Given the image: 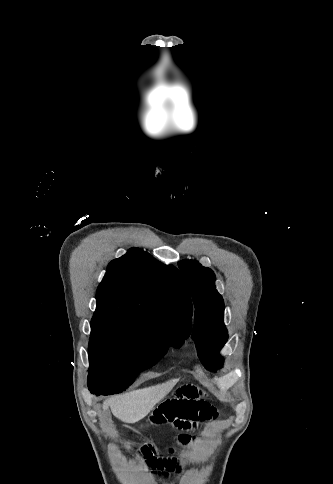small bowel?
I'll list each match as a JSON object with an SVG mask.
<instances>
[{
  "mask_svg": "<svg viewBox=\"0 0 333 484\" xmlns=\"http://www.w3.org/2000/svg\"><path fill=\"white\" fill-rule=\"evenodd\" d=\"M217 415V409L207 400L205 392L194 384L186 383L178 386L157 405L148 419V424L153 427H175L180 431L176 442L187 444L193 440L190 430L199 422L215 419ZM143 453L153 470L172 472L181 469L176 459L155 457L151 447H145Z\"/></svg>",
  "mask_w": 333,
  "mask_h": 484,
  "instance_id": "obj_1",
  "label": "small bowel"
}]
</instances>
